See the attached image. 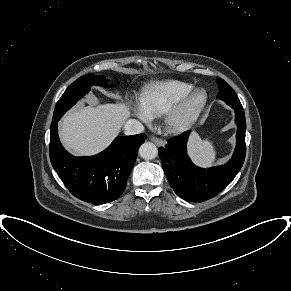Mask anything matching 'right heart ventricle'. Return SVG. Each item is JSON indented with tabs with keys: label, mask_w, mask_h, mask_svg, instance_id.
I'll return each mask as SVG.
<instances>
[{
	"label": "right heart ventricle",
	"mask_w": 291,
	"mask_h": 291,
	"mask_svg": "<svg viewBox=\"0 0 291 291\" xmlns=\"http://www.w3.org/2000/svg\"><path fill=\"white\" fill-rule=\"evenodd\" d=\"M193 89V84L180 80L155 82L140 96V107L148 117H160Z\"/></svg>",
	"instance_id": "e07e8e85"
}]
</instances>
